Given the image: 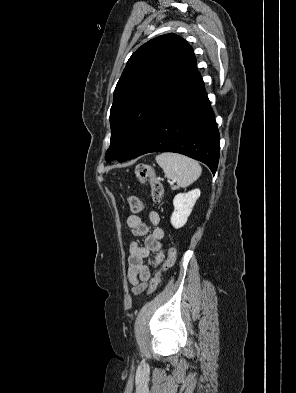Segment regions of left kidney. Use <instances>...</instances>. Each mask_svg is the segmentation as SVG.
Returning <instances> with one entry per match:
<instances>
[{
    "instance_id": "left-kidney-1",
    "label": "left kidney",
    "mask_w": 296,
    "mask_h": 393,
    "mask_svg": "<svg viewBox=\"0 0 296 393\" xmlns=\"http://www.w3.org/2000/svg\"><path fill=\"white\" fill-rule=\"evenodd\" d=\"M200 193L199 189H194L187 193H178L174 197V212L170 220L175 229H179L186 224L197 199L200 197Z\"/></svg>"
}]
</instances>
